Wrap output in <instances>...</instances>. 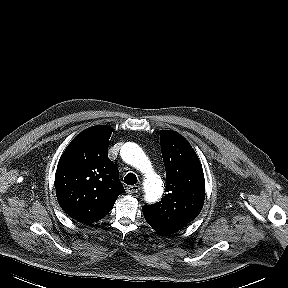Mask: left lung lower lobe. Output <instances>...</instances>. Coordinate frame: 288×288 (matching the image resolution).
I'll use <instances>...</instances> for the list:
<instances>
[{
	"label": "left lung lower lobe",
	"instance_id": "1",
	"mask_svg": "<svg viewBox=\"0 0 288 288\" xmlns=\"http://www.w3.org/2000/svg\"><path fill=\"white\" fill-rule=\"evenodd\" d=\"M143 214L145 217V220L147 221V223H149V225L158 233L160 234H172L177 232L179 229H176L170 225H167L155 218H153L149 213H147L144 209H143Z\"/></svg>",
	"mask_w": 288,
	"mask_h": 288
}]
</instances>
